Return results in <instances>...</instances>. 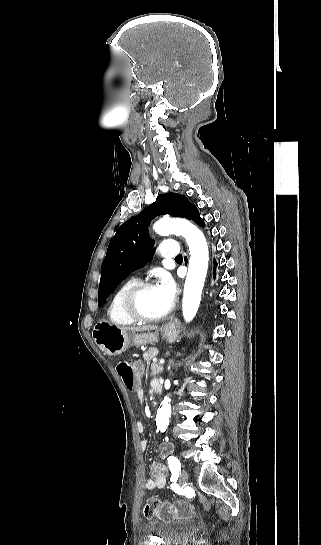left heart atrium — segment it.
<instances>
[{
    "mask_svg": "<svg viewBox=\"0 0 321 545\" xmlns=\"http://www.w3.org/2000/svg\"><path fill=\"white\" fill-rule=\"evenodd\" d=\"M156 288L165 297L168 305L171 307L178 294V286L170 274L162 272Z\"/></svg>",
    "mask_w": 321,
    "mask_h": 545,
    "instance_id": "1",
    "label": "left heart atrium"
}]
</instances>
